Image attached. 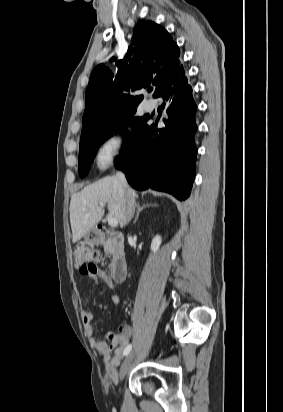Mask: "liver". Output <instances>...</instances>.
I'll return each mask as SVG.
<instances>
[{
	"mask_svg": "<svg viewBox=\"0 0 283 412\" xmlns=\"http://www.w3.org/2000/svg\"><path fill=\"white\" fill-rule=\"evenodd\" d=\"M124 202L125 190L117 176L105 177L72 195L70 223L73 243L79 241L101 221L104 213L102 208L106 204L110 216L117 219L120 226L124 227L126 224Z\"/></svg>",
	"mask_w": 283,
	"mask_h": 412,
	"instance_id": "1",
	"label": "liver"
}]
</instances>
